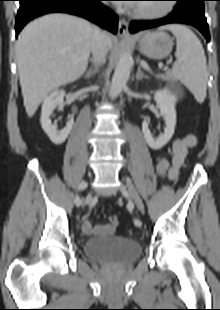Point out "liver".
Masks as SVG:
<instances>
[{"mask_svg":"<svg viewBox=\"0 0 220 310\" xmlns=\"http://www.w3.org/2000/svg\"><path fill=\"white\" fill-rule=\"evenodd\" d=\"M92 36L93 26L88 21L60 13L40 17L22 30L16 43V56L29 117L52 90L83 75ZM112 42V37L106 35L107 48L112 47Z\"/></svg>","mask_w":220,"mask_h":310,"instance_id":"liver-1","label":"liver"}]
</instances>
